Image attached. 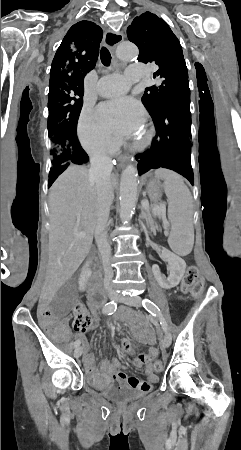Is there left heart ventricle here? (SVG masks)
I'll list each match as a JSON object with an SVG mask.
<instances>
[{"label": "left heart ventricle", "mask_w": 241, "mask_h": 450, "mask_svg": "<svg viewBox=\"0 0 241 450\" xmlns=\"http://www.w3.org/2000/svg\"><path fill=\"white\" fill-rule=\"evenodd\" d=\"M141 137H142V132H141V131L137 132V133L134 135V139H135V140H139V139H141Z\"/></svg>", "instance_id": "left-heart-ventricle-1"}]
</instances>
